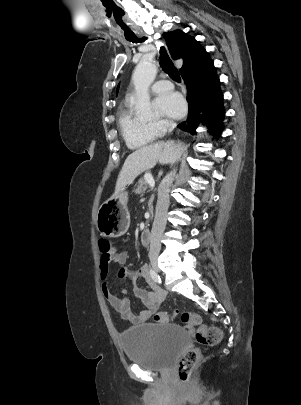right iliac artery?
<instances>
[{
  "label": "right iliac artery",
  "mask_w": 301,
  "mask_h": 405,
  "mask_svg": "<svg viewBox=\"0 0 301 405\" xmlns=\"http://www.w3.org/2000/svg\"><path fill=\"white\" fill-rule=\"evenodd\" d=\"M150 276L154 280V282H157V283L161 282L159 275L152 268H150Z\"/></svg>",
  "instance_id": "1"
}]
</instances>
